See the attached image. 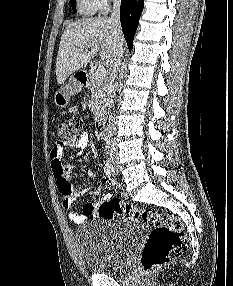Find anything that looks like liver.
<instances>
[{
	"label": "liver",
	"mask_w": 233,
	"mask_h": 286,
	"mask_svg": "<svg viewBox=\"0 0 233 286\" xmlns=\"http://www.w3.org/2000/svg\"><path fill=\"white\" fill-rule=\"evenodd\" d=\"M118 44H124L121 27L107 17L69 23L62 33L57 55L58 83L63 84L70 74L85 67L97 52L104 64L111 66Z\"/></svg>",
	"instance_id": "1"
}]
</instances>
